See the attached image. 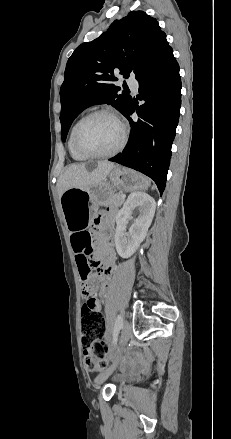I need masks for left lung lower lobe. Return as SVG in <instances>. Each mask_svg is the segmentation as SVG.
<instances>
[{
  "mask_svg": "<svg viewBox=\"0 0 231 439\" xmlns=\"http://www.w3.org/2000/svg\"><path fill=\"white\" fill-rule=\"evenodd\" d=\"M139 108L130 103L123 114L130 123L129 143L122 153L109 159L135 169L153 179L162 194L172 155L181 107V78L179 65L168 47L148 72L138 79ZM137 110L140 117L130 115Z\"/></svg>",
  "mask_w": 231,
  "mask_h": 439,
  "instance_id": "1",
  "label": "left lung lower lobe"
}]
</instances>
